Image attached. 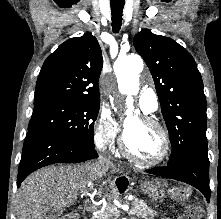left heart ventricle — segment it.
<instances>
[{"label": "left heart ventricle", "instance_id": "1", "mask_svg": "<svg viewBox=\"0 0 221 219\" xmlns=\"http://www.w3.org/2000/svg\"><path fill=\"white\" fill-rule=\"evenodd\" d=\"M125 130V143L131 153L143 159H154L160 154L162 139L156 128L132 118L126 122Z\"/></svg>", "mask_w": 221, "mask_h": 219}]
</instances>
